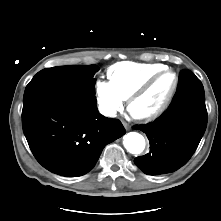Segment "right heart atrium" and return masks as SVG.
Wrapping results in <instances>:
<instances>
[{
    "mask_svg": "<svg viewBox=\"0 0 221 221\" xmlns=\"http://www.w3.org/2000/svg\"><path fill=\"white\" fill-rule=\"evenodd\" d=\"M95 95L99 111L107 118H114L123 107L124 99L110 82L99 79L95 83Z\"/></svg>",
    "mask_w": 221,
    "mask_h": 221,
    "instance_id": "1",
    "label": "right heart atrium"
}]
</instances>
